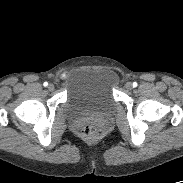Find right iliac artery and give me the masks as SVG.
Wrapping results in <instances>:
<instances>
[{
	"instance_id": "obj_1",
	"label": "right iliac artery",
	"mask_w": 183,
	"mask_h": 183,
	"mask_svg": "<svg viewBox=\"0 0 183 183\" xmlns=\"http://www.w3.org/2000/svg\"><path fill=\"white\" fill-rule=\"evenodd\" d=\"M43 85L46 87V86H48V83H47V82H44V84H43Z\"/></svg>"
}]
</instances>
